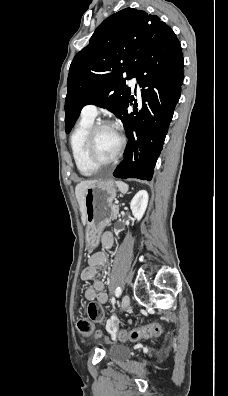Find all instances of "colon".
I'll use <instances>...</instances> for the list:
<instances>
[{
	"label": "colon",
	"instance_id": "obj_1",
	"mask_svg": "<svg viewBox=\"0 0 228 396\" xmlns=\"http://www.w3.org/2000/svg\"><path fill=\"white\" fill-rule=\"evenodd\" d=\"M89 319H80L77 323L78 330L82 337L88 338L93 335L94 322H102L104 319V311L97 303H90L88 306ZM161 325L157 322L151 323L144 327H136L131 330H120L117 338L121 341H135L141 338H149L160 335Z\"/></svg>",
	"mask_w": 228,
	"mask_h": 396
}]
</instances>
